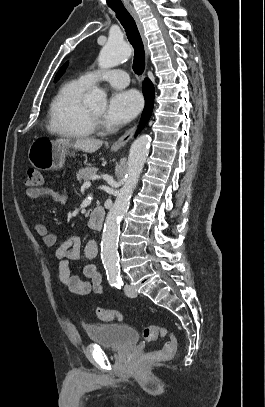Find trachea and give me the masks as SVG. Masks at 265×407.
I'll use <instances>...</instances> for the list:
<instances>
[{
    "label": "trachea",
    "instance_id": "obj_1",
    "mask_svg": "<svg viewBox=\"0 0 265 407\" xmlns=\"http://www.w3.org/2000/svg\"><path fill=\"white\" fill-rule=\"evenodd\" d=\"M111 9L116 13L117 19L124 27L127 38L134 48L133 70L137 75H140L145 68V51L137 25L124 6L112 7Z\"/></svg>",
    "mask_w": 265,
    "mask_h": 407
}]
</instances>
